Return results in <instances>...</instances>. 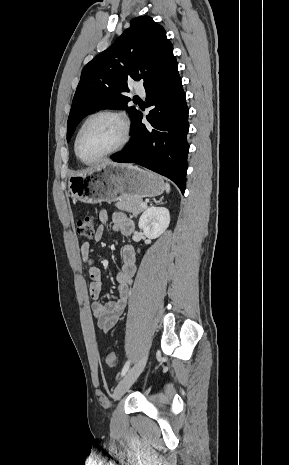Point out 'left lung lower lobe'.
Segmentation results:
<instances>
[{
	"label": "left lung lower lobe",
	"instance_id": "0a47b994",
	"mask_svg": "<svg viewBox=\"0 0 289 465\" xmlns=\"http://www.w3.org/2000/svg\"><path fill=\"white\" fill-rule=\"evenodd\" d=\"M146 116L150 126L141 123L138 111L130 128L129 146L111 155L120 163H136L171 179L184 194L189 145L188 108L181 78L175 68L165 78L146 87Z\"/></svg>",
	"mask_w": 289,
	"mask_h": 465
}]
</instances>
